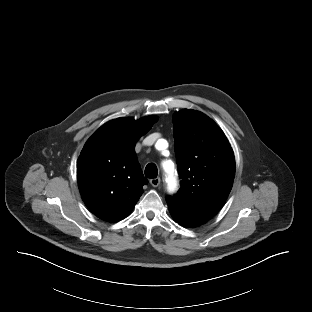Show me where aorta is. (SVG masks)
<instances>
[{
  "label": "aorta",
  "mask_w": 312,
  "mask_h": 312,
  "mask_svg": "<svg viewBox=\"0 0 312 312\" xmlns=\"http://www.w3.org/2000/svg\"><path fill=\"white\" fill-rule=\"evenodd\" d=\"M164 168L167 171V173L169 174L168 178H167V181H168L169 187L172 188V187L175 186V177H174L173 163L170 162V161L165 162L164 163Z\"/></svg>",
  "instance_id": "762f6f07"
}]
</instances>
